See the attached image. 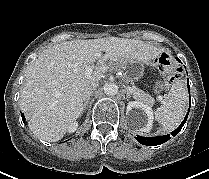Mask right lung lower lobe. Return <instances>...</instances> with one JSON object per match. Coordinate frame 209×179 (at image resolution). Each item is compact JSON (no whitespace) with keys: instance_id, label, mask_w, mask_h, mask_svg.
I'll return each instance as SVG.
<instances>
[{"instance_id":"right-lung-lower-lobe-1","label":"right lung lower lobe","mask_w":209,"mask_h":179,"mask_svg":"<svg viewBox=\"0 0 209 179\" xmlns=\"http://www.w3.org/2000/svg\"><path fill=\"white\" fill-rule=\"evenodd\" d=\"M21 116H22L23 121H25V117L23 113H21Z\"/></svg>"}]
</instances>
